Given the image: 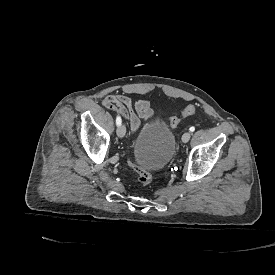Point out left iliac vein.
<instances>
[{"label": "left iliac vein", "instance_id": "left-iliac-vein-1", "mask_svg": "<svg viewBox=\"0 0 275 275\" xmlns=\"http://www.w3.org/2000/svg\"><path fill=\"white\" fill-rule=\"evenodd\" d=\"M190 138H191V133H190V132H186V133H184L183 136H182V141H183L184 143H186V142H188V141L190 140Z\"/></svg>", "mask_w": 275, "mask_h": 275}]
</instances>
